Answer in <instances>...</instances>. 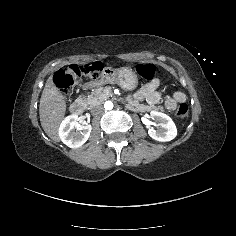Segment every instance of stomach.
Instances as JSON below:
<instances>
[{
    "label": "stomach",
    "mask_w": 236,
    "mask_h": 236,
    "mask_svg": "<svg viewBox=\"0 0 236 236\" xmlns=\"http://www.w3.org/2000/svg\"><path fill=\"white\" fill-rule=\"evenodd\" d=\"M105 83L118 84L124 90H134L138 85L137 74L129 67L108 68Z\"/></svg>",
    "instance_id": "obj_1"
}]
</instances>
